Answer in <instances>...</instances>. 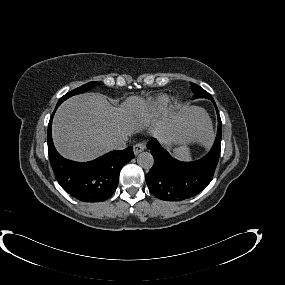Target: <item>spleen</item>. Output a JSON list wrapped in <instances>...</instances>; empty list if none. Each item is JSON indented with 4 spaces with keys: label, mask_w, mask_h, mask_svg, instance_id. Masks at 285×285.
<instances>
[{
    "label": "spleen",
    "mask_w": 285,
    "mask_h": 285,
    "mask_svg": "<svg viewBox=\"0 0 285 285\" xmlns=\"http://www.w3.org/2000/svg\"><path fill=\"white\" fill-rule=\"evenodd\" d=\"M209 123L207 115L203 112L200 117V124L205 126ZM173 155L183 161H191L192 160V153L188 146H181L173 151Z\"/></svg>",
    "instance_id": "spleen-1"
}]
</instances>
